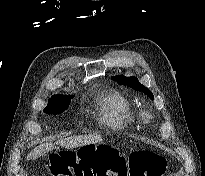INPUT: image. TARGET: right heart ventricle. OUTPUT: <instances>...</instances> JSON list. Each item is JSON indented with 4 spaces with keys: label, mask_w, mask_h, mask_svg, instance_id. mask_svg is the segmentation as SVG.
Segmentation results:
<instances>
[{
    "label": "right heart ventricle",
    "mask_w": 205,
    "mask_h": 176,
    "mask_svg": "<svg viewBox=\"0 0 205 176\" xmlns=\"http://www.w3.org/2000/svg\"><path fill=\"white\" fill-rule=\"evenodd\" d=\"M102 121L109 127L120 130L134 120L133 111L128 100L118 91H110L100 99Z\"/></svg>",
    "instance_id": "e07e8e85"
}]
</instances>
